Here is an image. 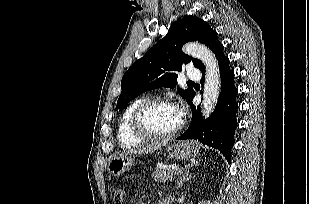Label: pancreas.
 I'll use <instances>...</instances> for the list:
<instances>
[{
  "mask_svg": "<svg viewBox=\"0 0 309 204\" xmlns=\"http://www.w3.org/2000/svg\"><path fill=\"white\" fill-rule=\"evenodd\" d=\"M177 173V168L176 169H162V168H156L152 178L160 183H164L168 180L173 179V175Z\"/></svg>",
  "mask_w": 309,
  "mask_h": 204,
  "instance_id": "1",
  "label": "pancreas"
}]
</instances>
